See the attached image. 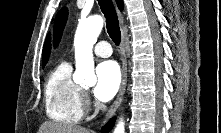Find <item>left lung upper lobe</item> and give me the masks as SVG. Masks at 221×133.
<instances>
[{
	"label": "left lung upper lobe",
	"mask_w": 221,
	"mask_h": 133,
	"mask_svg": "<svg viewBox=\"0 0 221 133\" xmlns=\"http://www.w3.org/2000/svg\"><path fill=\"white\" fill-rule=\"evenodd\" d=\"M68 15V10L66 7L62 8L56 18L54 23V46L56 47L61 39L62 31L66 23Z\"/></svg>",
	"instance_id": "left-lung-upper-lobe-1"
}]
</instances>
